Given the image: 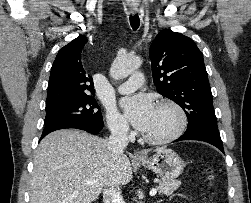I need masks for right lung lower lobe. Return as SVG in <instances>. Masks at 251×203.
<instances>
[{"mask_svg": "<svg viewBox=\"0 0 251 203\" xmlns=\"http://www.w3.org/2000/svg\"><path fill=\"white\" fill-rule=\"evenodd\" d=\"M66 128L80 129V130L90 132L92 134H98L101 130V128L93 126L92 124H89V123L82 121V120H64V121H60V122L46 125L43 130L42 137L40 138V140L43 137H45L47 134H49L55 130L66 129Z\"/></svg>", "mask_w": 251, "mask_h": 203, "instance_id": "right-lung-lower-lobe-1", "label": "right lung lower lobe"}]
</instances>
